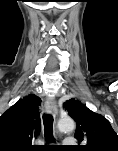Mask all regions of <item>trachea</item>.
Masks as SVG:
<instances>
[{
    "label": "trachea",
    "mask_w": 118,
    "mask_h": 151,
    "mask_svg": "<svg viewBox=\"0 0 118 151\" xmlns=\"http://www.w3.org/2000/svg\"><path fill=\"white\" fill-rule=\"evenodd\" d=\"M44 136L46 141L53 142V117L49 114L43 115Z\"/></svg>",
    "instance_id": "1"
}]
</instances>
